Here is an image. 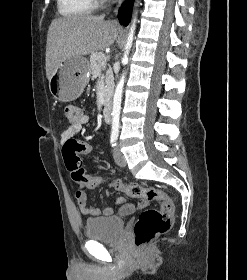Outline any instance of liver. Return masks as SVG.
Instances as JSON below:
<instances>
[{
  "mask_svg": "<svg viewBox=\"0 0 247 280\" xmlns=\"http://www.w3.org/2000/svg\"><path fill=\"white\" fill-rule=\"evenodd\" d=\"M118 30L117 23L105 21L103 16L74 15L54 19L47 34L48 80L68 58L85 56L113 45Z\"/></svg>",
  "mask_w": 247,
  "mask_h": 280,
  "instance_id": "obj_1",
  "label": "liver"
}]
</instances>
